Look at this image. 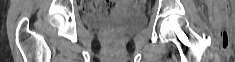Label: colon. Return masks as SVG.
I'll list each match as a JSON object with an SVG mask.
<instances>
[{
	"instance_id": "5ec220e1",
	"label": "colon",
	"mask_w": 235,
	"mask_h": 62,
	"mask_svg": "<svg viewBox=\"0 0 235 62\" xmlns=\"http://www.w3.org/2000/svg\"><path fill=\"white\" fill-rule=\"evenodd\" d=\"M141 2H143V1H141ZM88 8H89L90 10H92V11H97V12L101 11V9H100V8H98L97 10L92 9V8H91V7H89V6H88Z\"/></svg>"
}]
</instances>
